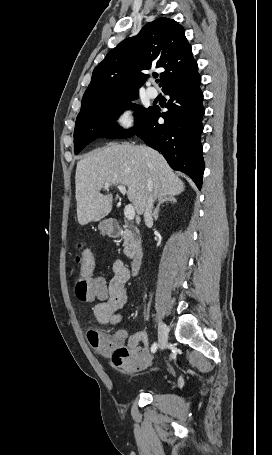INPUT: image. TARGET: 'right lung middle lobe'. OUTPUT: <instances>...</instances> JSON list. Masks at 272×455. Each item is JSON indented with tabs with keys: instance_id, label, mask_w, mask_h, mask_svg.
Here are the masks:
<instances>
[{
	"instance_id": "obj_1",
	"label": "right lung middle lobe",
	"mask_w": 272,
	"mask_h": 455,
	"mask_svg": "<svg viewBox=\"0 0 272 455\" xmlns=\"http://www.w3.org/2000/svg\"><path fill=\"white\" fill-rule=\"evenodd\" d=\"M137 98L138 94L131 95L79 113L74 130L75 154L97 138L121 139L133 136L144 125L154 109V107L141 108L130 102ZM125 108H133L136 111V125L131 130H123L116 124L117 117Z\"/></svg>"
}]
</instances>
